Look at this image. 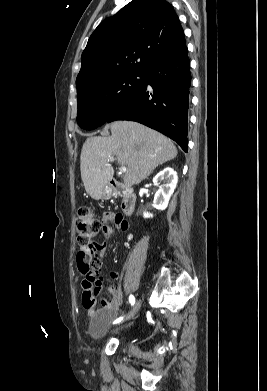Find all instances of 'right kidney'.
Returning <instances> with one entry per match:
<instances>
[{
  "label": "right kidney",
  "mask_w": 267,
  "mask_h": 391,
  "mask_svg": "<svg viewBox=\"0 0 267 391\" xmlns=\"http://www.w3.org/2000/svg\"><path fill=\"white\" fill-rule=\"evenodd\" d=\"M163 182L162 185H159ZM178 182L177 173L172 168H165L153 178V183L159 186V190L156 192L153 207L158 210H164L168 206L171 195L173 194ZM152 214L144 212V217H151Z\"/></svg>",
  "instance_id": "obj_1"
}]
</instances>
